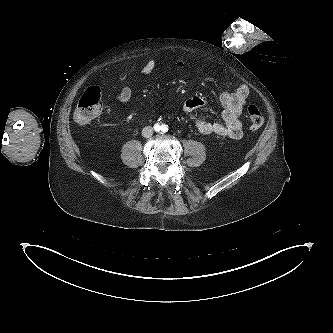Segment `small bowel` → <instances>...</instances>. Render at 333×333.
I'll list each match as a JSON object with an SVG mask.
<instances>
[{"instance_id": "small-bowel-1", "label": "small bowel", "mask_w": 333, "mask_h": 333, "mask_svg": "<svg viewBox=\"0 0 333 333\" xmlns=\"http://www.w3.org/2000/svg\"><path fill=\"white\" fill-rule=\"evenodd\" d=\"M176 65L183 66L184 62L176 61ZM156 66L154 60H148L142 67L144 74L151 73ZM249 95L246 85L238 86L234 91H223L220 95V102L223 106L222 121H209L196 115V111L207 104L204 97H193L186 100L183 110L195 123L196 128L202 134H215L218 136L240 139L243 135L240 115ZM132 90L130 86H124L116 95V99L121 103H126L131 99Z\"/></svg>"}]
</instances>
